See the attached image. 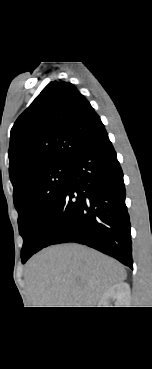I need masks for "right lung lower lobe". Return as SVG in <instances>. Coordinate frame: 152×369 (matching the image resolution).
<instances>
[{
  "instance_id": "98d812e1",
  "label": "right lung lower lobe",
  "mask_w": 152,
  "mask_h": 369,
  "mask_svg": "<svg viewBox=\"0 0 152 369\" xmlns=\"http://www.w3.org/2000/svg\"><path fill=\"white\" fill-rule=\"evenodd\" d=\"M130 228L123 172L105 130L68 163L66 185L36 252L76 242L132 268Z\"/></svg>"
}]
</instances>
